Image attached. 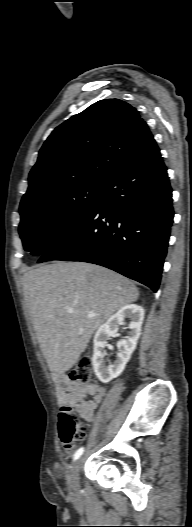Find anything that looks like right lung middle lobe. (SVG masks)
Here are the masks:
<instances>
[{
	"mask_svg": "<svg viewBox=\"0 0 192 527\" xmlns=\"http://www.w3.org/2000/svg\"><path fill=\"white\" fill-rule=\"evenodd\" d=\"M104 186L84 182L20 204L19 234L25 250L35 256L46 253L82 221Z\"/></svg>",
	"mask_w": 192,
	"mask_h": 527,
	"instance_id": "obj_1",
	"label": "right lung middle lobe"
}]
</instances>
